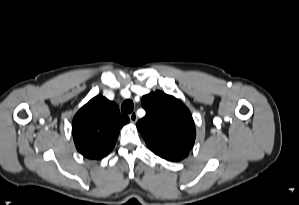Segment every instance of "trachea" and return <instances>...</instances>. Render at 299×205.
I'll return each mask as SVG.
<instances>
[{"label":"trachea","instance_id":"trachea-1","mask_svg":"<svg viewBox=\"0 0 299 205\" xmlns=\"http://www.w3.org/2000/svg\"><path fill=\"white\" fill-rule=\"evenodd\" d=\"M133 109H134V103L130 99L125 100L121 105V111L123 114H129L133 111Z\"/></svg>","mask_w":299,"mask_h":205}]
</instances>
